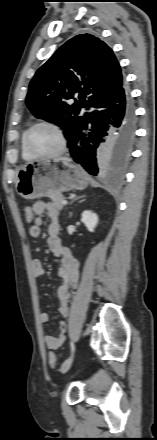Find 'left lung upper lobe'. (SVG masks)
<instances>
[{"label": "left lung upper lobe", "mask_w": 157, "mask_h": 440, "mask_svg": "<svg viewBox=\"0 0 157 440\" xmlns=\"http://www.w3.org/2000/svg\"><path fill=\"white\" fill-rule=\"evenodd\" d=\"M122 86L121 68L112 50L99 38L80 34L38 69L30 82L26 104L37 118L59 123L69 147L89 115L79 116L80 109L95 107ZM73 98L76 101L70 104Z\"/></svg>", "instance_id": "5c2ea615"}]
</instances>
